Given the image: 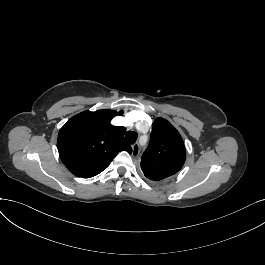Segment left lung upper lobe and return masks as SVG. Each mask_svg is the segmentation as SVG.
<instances>
[{"label":"left lung upper lobe","instance_id":"left-lung-upper-lobe-1","mask_svg":"<svg viewBox=\"0 0 265 265\" xmlns=\"http://www.w3.org/2000/svg\"><path fill=\"white\" fill-rule=\"evenodd\" d=\"M186 149L181 135L163 118L152 125L150 143L141 157V169L152 181H162L176 174L183 166Z\"/></svg>","mask_w":265,"mask_h":265}]
</instances>
